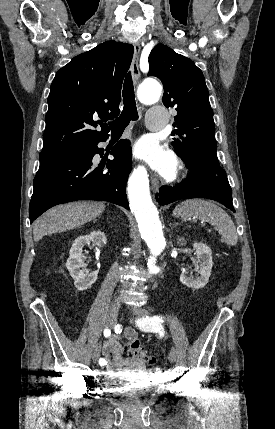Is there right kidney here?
I'll use <instances>...</instances> for the list:
<instances>
[{"label":"right kidney","instance_id":"ca27d5eb","mask_svg":"<svg viewBox=\"0 0 275 429\" xmlns=\"http://www.w3.org/2000/svg\"><path fill=\"white\" fill-rule=\"evenodd\" d=\"M107 242L104 232L98 230L93 231L89 235L80 236L72 244L70 256L66 262V267L70 276L74 279L75 287L80 290H86L95 283L98 276V270L89 272L84 270V256L82 250L85 245L93 243L98 247H103Z\"/></svg>","mask_w":275,"mask_h":429}]
</instances>
